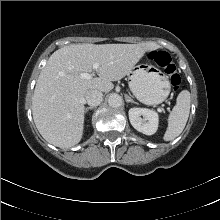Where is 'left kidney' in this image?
Masks as SVG:
<instances>
[{
  "mask_svg": "<svg viewBox=\"0 0 220 220\" xmlns=\"http://www.w3.org/2000/svg\"><path fill=\"white\" fill-rule=\"evenodd\" d=\"M141 116H143V119ZM129 120L137 131L146 135H153L158 129L159 116L154 110L131 108L129 110Z\"/></svg>",
  "mask_w": 220,
  "mask_h": 220,
  "instance_id": "5707ae66",
  "label": "left kidney"
}]
</instances>
